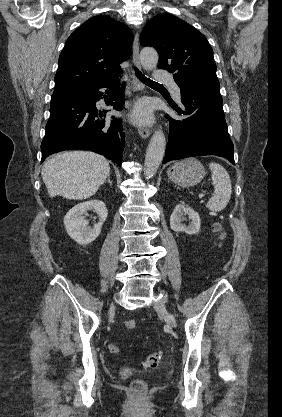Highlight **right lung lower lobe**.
Segmentation results:
<instances>
[{"label": "right lung lower lobe", "instance_id": "1", "mask_svg": "<svg viewBox=\"0 0 282 417\" xmlns=\"http://www.w3.org/2000/svg\"><path fill=\"white\" fill-rule=\"evenodd\" d=\"M118 81V78L106 79L52 95L50 118L41 144V162L55 152L79 149L94 151L121 165L125 144L121 119H95L98 117L96 101L105 96L100 88L111 90H107V105L115 110L123 109L125 83L117 90Z\"/></svg>", "mask_w": 282, "mask_h": 417}]
</instances>
